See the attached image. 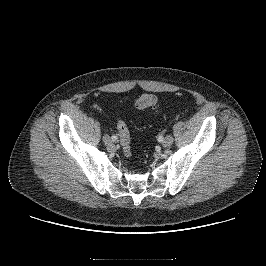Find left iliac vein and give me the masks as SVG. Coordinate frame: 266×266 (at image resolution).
<instances>
[{"instance_id": "obj_1", "label": "left iliac vein", "mask_w": 266, "mask_h": 266, "mask_svg": "<svg viewBox=\"0 0 266 266\" xmlns=\"http://www.w3.org/2000/svg\"><path fill=\"white\" fill-rule=\"evenodd\" d=\"M172 143H173V137L170 136V135L166 136V137L163 139V142H162V144H163L164 147H168V146H170Z\"/></svg>"}]
</instances>
